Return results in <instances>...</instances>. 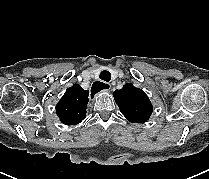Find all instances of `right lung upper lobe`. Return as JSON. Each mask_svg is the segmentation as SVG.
Listing matches in <instances>:
<instances>
[{
  "label": "right lung upper lobe",
  "instance_id": "obj_1",
  "mask_svg": "<svg viewBox=\"0 0 209 179\" xmlns=\"http://www.w3.org/2000/svg\"><path fill=\"white\" fill-rule=\"evenodd\" d=\"M89 92L78 84L68 88L56 105V113L65 125L80 123L86 117Z\"/></svg>",
  "mask_w": 209,
  "mask_h": 179
}]
</instances>
